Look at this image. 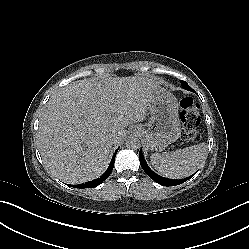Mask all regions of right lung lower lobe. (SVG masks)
I'll return each mask as SVG.
<instances>
[{
  "label": "right lung lower lobe",
  "mask_w": 249,
  "mask_h": 249,
  "mask_svg": "<svg viewBox=\"0 0 249 249\" xmlns=\"http://www.w3.org/2000/svg\"><path fill=\"white\" fill-rule=\"evenodd\" d=\"M117 151H118V149H117ZM117 151L115 152L108 169L105 171V173L102 176H100V178H97V179L90 181V182H86L85 184L74 185L75 188H80V189L93 188V187L100 185L103 181H105L109 177V175L111 174V172L113 170L115 156H116Z\"/></svg>",
  "instance_id": "1"
}]
</instances>
